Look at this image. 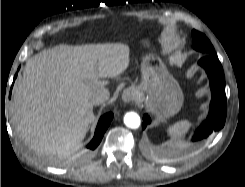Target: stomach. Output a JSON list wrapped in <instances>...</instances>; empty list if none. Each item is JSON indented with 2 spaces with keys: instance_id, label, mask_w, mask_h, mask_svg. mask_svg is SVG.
<instances>
[{
  "instance_id": "obj_1",
  "label": "stomach",
  "mask_w": 245,
  "mask_h": 187,
  "mask_svg": "<svg viewBox=\"0 0 245 187\" xmlns=\"http://www.w3.org/2000/svg\"><path fill=\"white\" fill-rule=\"evenodd\" d=\"M141 45L151 50L150 37L141 41ZM141 81L132 87L135 97L150 110L164 117L176 114L183 104V93L166 66L154 54L147 55L140 66Z\"/></svg>"
}]
</instances>
